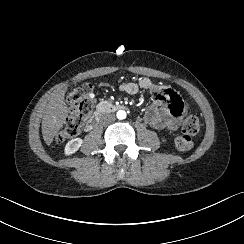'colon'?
Returning <instances> with one entry per match:
<instances>
[{"label":"colon","mask_w":244,"mask_h":244,"mask_svg":"<svg viewBox=\"0 0 244 244\" xmlns=\"http://www.w3.org/2000/svg\"><path fill=\"white\" fill-rule=\"evenodd\" d=\"M78 90H81L84 94L82 99L73 97V94ZM67 102L71 112L57 136L59 143L76 136L87 117L91 114L94 108L93 87L88 83L80 84L70 91ZM199 127V121L196 117H185L179 132L174 138L176 147L181 151H190L194 146V137L198 133Z\"/></svg>","instance_id":"1"}]
</instances>
